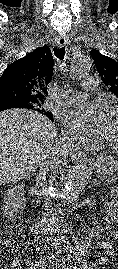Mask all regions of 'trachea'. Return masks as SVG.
Returning a JSON list of instances; mask_svg holds the SVG:
<instances>
[{"label": "trachea", "mask_w": 118, "mask_h": 269, "mask_svg": "<svg viewBox=\"0 0 118 269\" xmlns=\"http://www.w3.org/2000/svg\"><path fill=\"white\" fill-rule=\"evenodd\" d=\"M53 51H54V55H55L60 61H63V60H64V56H65V46H63V47H61V48L54 47Z\"/></svg>", "instance_id": "1"}]
</instances>
